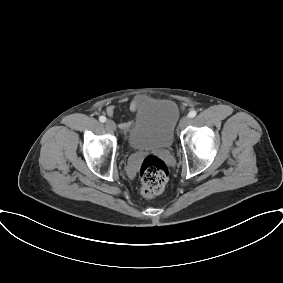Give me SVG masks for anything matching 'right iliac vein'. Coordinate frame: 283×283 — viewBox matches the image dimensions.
Segmentation results:
<instances>
[{
	"instance_id": "obj_1",
	"label": "right iliac vein",
	"mask_w": 283,
	"mask_h": 283,
	"mask_svg": "<svg viewBox=\"0 0 283 283\" xmlns=\"http://www.w3.org/2000/svg\"><path fill=\"white\" fill-rule=\"evenodd\" d=\"M106 127L112 131L116 130V124L112 120H107L106 121Z\"/></svg>"
}]
</instances>
